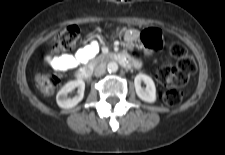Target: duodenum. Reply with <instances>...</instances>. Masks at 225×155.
I'll list each match as a JSON object with an SVG mask.
<instances>
[{
    "label": "duodenum",
    "instance_id": "obj_1",
    "mask_svg": "<svg viewBox=\"0 0 225 155\" xmlns=\"http://www.w3.org/2000/svg\"><path fill=\"white\" fill-rule=\"evenodd\" d=\"M110 59L119 62L124 67H131L133 65L132 60L125 54L114 53L110 55ZM92 74V65H88L80 69L77 73V78L81 81L88 80Z\"/></svg>",
    "mask_w": 225,
    "mask_h": 155
}]
</instances>
